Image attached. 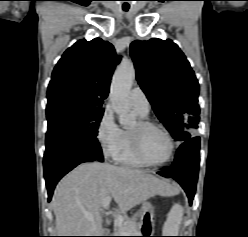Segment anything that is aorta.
<instances>
[{
  "mask_svg": "<svg viewBox=\"0 0 248 237\" xmlns=\"http://www.w3.org/2000/svg\"><path fill=\"white\" fill-rule=\"evenodd\" d=\"M135 78V69L131 61L121 62L112 78L110 87V101L119 123L128 126L134 123L135 118L130 113L129 92Z\"/></svg>",
  "mask_w": 248,
  "mask_h": 237,
  "instance_id": "1",
  "label": "aorta"
}]
</instances>
